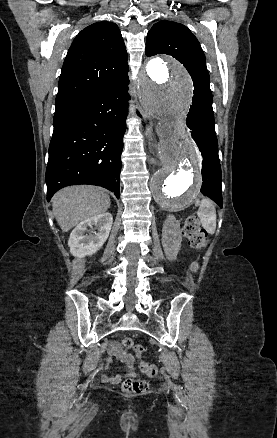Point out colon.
<instances>
[{"label":"colon","mask_w":277,"mask_h":438,"mask_svg":"<svg viewBox=\"0 0 277 438\" xmlns=\"http://www.w3.org/2000/svg\"><path fill=\"white\" fill-rule=\"evenodd\" d=\"M183 233L188 239L191 247L195 249H201L207 245L206 231L198 219L188 218L185 221ZM198 268L199 267L197 264L191 265V270L194 273L198 271ZM122 344L124 347L133 349L137 356L142 354L141 348L134 346L130 338H124L122 340ZM141 371L150 378L157 377L159 374L158 368L149 362H143L141 364ZM151 386L152 383L148 380L130 379L120 381V388L123 390V393L129 395L130 398H143L144 391Z\"/></svg>","instance_id":"5ec220e1"}]
</instances>
